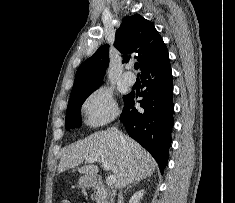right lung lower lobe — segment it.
<instances>
[{
	"instance_id": "obj_1",
	"label": "right lung lower lobe",
	"mask_w": 235,
	"mask_h": 203,
	"mask_svg": "<svg viewBox=\"0 0 235 203\" xmlns=\"http://www.w3.org/2000/svg\"><path fill=\"white\" fill-rule=\"evenodd\" d=\"M145 90L139 101L143 110L134 107L135 94L124 96L120 116L130 137L141 144L157 161L163 172L168 160L173 127V84L169 57L141 73Z\"/></svg>"
}]
</instances>
